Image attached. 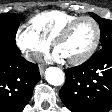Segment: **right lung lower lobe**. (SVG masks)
<instances>
[{
	"label": "right lung lower lobe",
	"mask_w": 112,
	"mask_h": 112,
	"mask_svg": "<svg viewBox=\"0 0 112 112\" xmlns=\"http://www.w3.org/2000/svg\"><path fill=\"white\" fill-rule=\"evenodd\" d=\"M40 78L36 64L20 53L0 50V112H22Z\"/></svg>",
	"instance_id": "98d812e1"
}]
</instances>
